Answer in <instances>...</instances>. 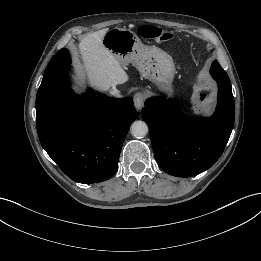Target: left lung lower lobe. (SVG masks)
<instances>
[{
    "label": "left lung lower lobe",
    "mask_w": 261,
    "mask_h": 261,
    "mask_svg": "<svg viewBox=\"0 0 261 261\" xmlns=\"http://www.w3.org/2000/svg\"><path fill=\"white\" fill-rule=\"evenodd\" d=\"M218 82V105L210 118L185 116L169 100L149 98L142 111L158 165L168 174L190 177L210 168L221 156L234 125L235 105L230 79L220 64H212Z\"/></svg>",
    "instance_id": "0a47b994"
}]
</instances>
